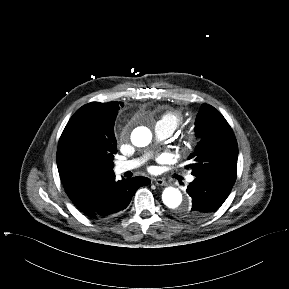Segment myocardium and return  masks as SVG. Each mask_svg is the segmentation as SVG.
Listing matches in <instances>:
<instances>
[{"label":"myocardium","mask_w":289,"mask_h":289,"mask_svg":"<svg viewBox=\"0 0 289 289\" xmlns=\"http://www.w3.org/2000/svg\"><path fill=\"white\" fill-rule=\"evenodd\" d=\"M197 138L196 131L194 129L188 130L184 135V140L188 145H192Z\"/></svg>","instance_id":"myocardium-1"}]
</instances>
